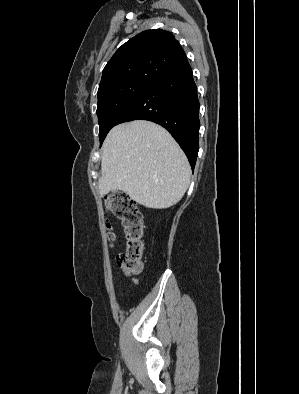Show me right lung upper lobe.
Wrapping results in <instances>:
<instances>
[{
	"label": "right lung upper lobe",
	"instance_id": "right-lung-upper-lobe-1",
	"mask_svg": "<svg viewBox=\"0 0 299 394\" xmlns=\"http://www.w3.org/2000/svg\"><path fill=\"white\" fill-rule=\"evenodd\" d=\"M185 60L184 50L170 32L146 30L115 52L103 69L98 94L125 83L152 84Z\"/></svg>",
	"mask_w": 299,
	"mask_h": 394
}]
</instances>
